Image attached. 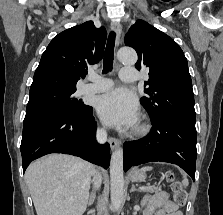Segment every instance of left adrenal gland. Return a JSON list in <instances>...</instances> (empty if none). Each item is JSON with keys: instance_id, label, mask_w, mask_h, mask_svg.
<instances>
[{"instance_id": "obj_1", "label": "left adrenal gland", "mask_w": 223, "mask_h": 215, "mask_svg": "<svg viewBox=\"0 0 223 215\" xmlns=\"http://www.w3.org/2000/svg\"><path fill=\"white\" fill-rule=\"evenodd\" d=\"M131 191H140V189H136L134 183H132V187L130 189V193H131Z\"/></svg>"}]
</instances>
